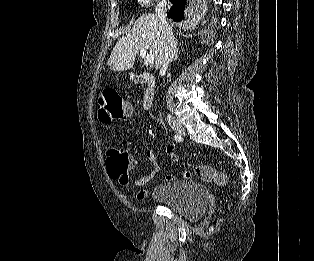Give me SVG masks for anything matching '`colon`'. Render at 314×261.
Masks as SVG:
<instances>
[{"instance_id": "obj_1", "label": "colon", "mask_w": 314, "mask_h": 261, "mask_svg": "<svg viewBox=\"0 0 314 261\" xmlns=\"http://www.w3.org/2000/svg\"><path fill=\"white\" fill-rule=\"evenodd\" d=\"M99 110L98 117L103 124L125 119L128 116L129 108L124 98L113 88L103 90L98 97ZM131 167L129 154L123 150H113L109 152L106 161L108 174L118 179L122 183L128 181V169ZM185 178L192 175L197 178L217 185H225L227 175L207 165H195L192 172H184ZM212 229V227L210 228Z\"/></svg>"}]
</instances>
